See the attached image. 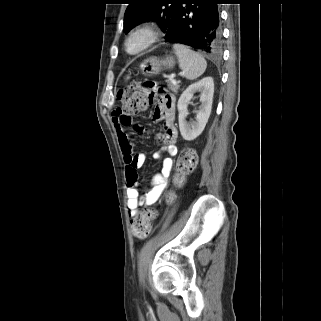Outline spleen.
<instances>
[{"instance_id": "3e777b00", "label": "spleen", "mask_w": 321, "mask_h": 321, "mask_svg": "<svg viewBox=\"0 0 321 321\" xmlns=\"http://www.w3.org/2000/svg\"><path fill=\"white\" fill-rule=\"evenodd\" d=\"M173 49L186 79L195 80L205 72L207 62L202 55L182 44H174Z\"/></svg>"}]
</instances>
